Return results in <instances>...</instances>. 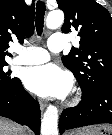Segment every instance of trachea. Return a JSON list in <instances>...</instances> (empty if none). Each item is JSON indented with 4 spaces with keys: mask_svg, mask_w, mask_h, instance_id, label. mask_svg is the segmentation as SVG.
Masks as SVG:
<instances>
[{
    "mask_svg": "<svg viewBox=\"0 0 112 135\" xmlns=\"http://www.w3.org/2000/svg\"><path fill=\"white\" fill-rule=\"evenodd\" d=\"M44 16H45V3L38 1L36 4V19L35 26L39 36H41L44 27Z\"/></svg>",
    "mask_w": 112,
    "mask_h": 135,
    "instance_id": "obj_1",
    "label": "trachea"
}]
</instances>
